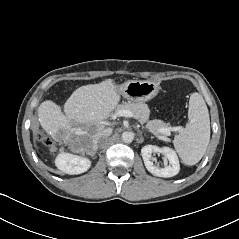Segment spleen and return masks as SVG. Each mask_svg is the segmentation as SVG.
Wrapping results in <instances>:
<instances>
[{
  "label": "spleen",
  "instance_id": "3e777b00",
  "mask_svg": "<svg viewBox=\"0 0 239 239\" xmlns=\"http://www.w3.org/2000/svg\"><path fill=\"white\" fill-rule=\"evenodd\" d=\"M185 128L174 138V147L186 165H195L203 157L210 140V118L201 94L190 96Z\"/></svg>",
  "mask_w": 239,
  "mask_h": 239
}]
</instances>
